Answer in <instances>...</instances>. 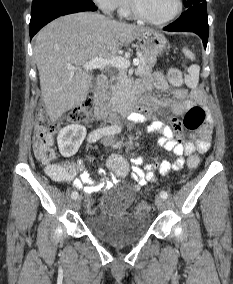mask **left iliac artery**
Listing matches in <instances>:
<instances>
[{
	"instance_id": "1",
	"label": "left iliac artery",
	"mask_w": 233,
	"mask_h": 284,
	"mask_svg": "<svg viewBox=\"0 0 233 284\" xmlns=\"http://www.w3.org/2000/svg\"><path fill=\"white\" fill-rule=\"evenodd\" d=\"M118 132H119V130H118ZM160 197H162L163 199H167V197H168L167 192L166 191H161L160 192Z\"/></svg>"
}]
</instances>
